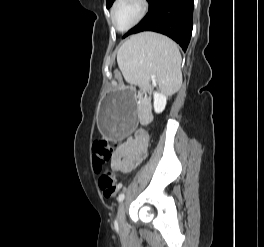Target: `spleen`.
I'll return each mask as SVG.
<instances>
[{
    "instance_id": "obj_1",
    "label": "spleen",
    "mask_w": 264,
    "mask_h": 247,
    "mask_svg": "<svg viewBox=\"0 0 264 247\" xmlns=\"http://www.w3.org/2000/svg\"><path fill=\"white\" fill-rule=\"evenodd\" d=\"M117 62L125 80L144 88L154 77L167 94L177 92L182 84L181 54L168 37L153 32L135 35L117 53Z\"/></svg>"
}]
</instances>
